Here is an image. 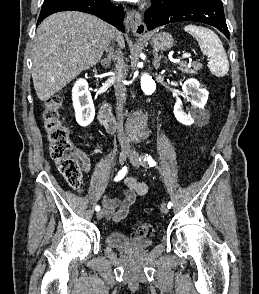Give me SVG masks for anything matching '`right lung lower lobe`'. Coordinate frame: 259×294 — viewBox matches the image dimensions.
Masks as SVG:
<instances>
[{
    "label": "right lung lower lobe",
    "instance_id": "obj_1",
    "mask_svg": "<svg viewBox=\"0 0 259 294\" xmlns=\"http://www.w3.org/2000/svg\"><path fill=\"white\" fill-rule=\"evenodd\" d=\"M66 10H76L96 15L122 32L125 31L122 25L124 20L123 7L111 3L109 0H52L43 4L37 24L53 13Z\"/></svg>",
    "mask_w": 259,
    "mask_h": 294
}]
</instances>
